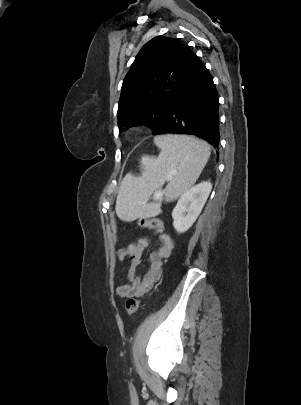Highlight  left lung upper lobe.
I'll return each instance as SVG.
<instances>
[{
    "instance_id": "obj_1",
    "label": "left lung upper lobe",
    "mask_w": 301,
    "mask_h": 405,
    "mask_svg": "<svg viewBox=\"0 0 301 405\" xmlns=\"http://www.w3.org/2000/svg\"><path fill=\"white\" fill-rule=\"evenodd\" d=\"M194 55L176 38L157 36L147 42L123 81L118 126L144 124L155 134L188 74Z\"/></svg>"
}]
</instances>
